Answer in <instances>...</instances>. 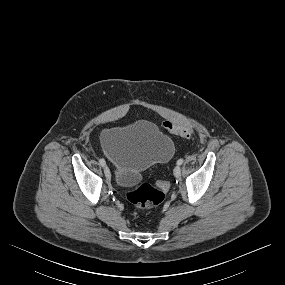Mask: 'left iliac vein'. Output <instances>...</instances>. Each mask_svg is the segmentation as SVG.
Masks as SVG:
<instances>
[{
  "label": "left iliac vein",
  "instance_id": "obj_1",
  "mask_svg": "<svg viewBox=\"0 0 285 285\" xmlns=\"http://www.w3.org/2000/svg\"><path fill=\"white\" fill-rule=\"evenodd\" d=\"M174 176L176 178H179L181 176V168L180 166H176L173 170Z\"/></svg>",
  "mask_w": 285,
  "mask_h": 285
}]
</instances>
